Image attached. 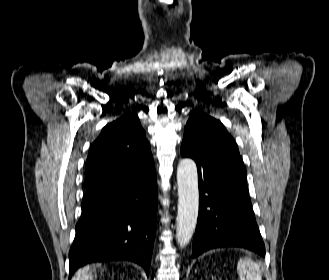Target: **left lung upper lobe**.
Returning <instances> with one entry per match:
<instances>
[{
	"label": "left lung upper lobe",
	"instance_id": "left-lung-upper-lobe-1",
	"mask_svg": "<svg viewBox=\"0 0 329 280\" xmlns=\"http://www.w3.org/2000/svg\"><path fill=\"white\" fill-rule=\"evenodd\" d=\"M183 157L198 167L199 186L220 191L246 184V171L238 147L223 124L203 112H194L184 128Z\"/></svg>",
	"mask_w": 329,
	"mask_h": 280
}]
</instances>
